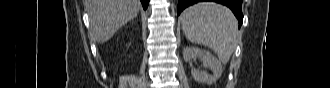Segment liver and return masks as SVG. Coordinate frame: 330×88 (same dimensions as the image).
<instances>
[{
	"label": "liver",
	"mask_w": 330,
	"mask_h": 88,
	"mask_svg": "<svg viewBox=\"0 0 330 88\" xmlns=\"http://www.w3.org/2000/svg\"><path fill=\"white\" fill-rule=\"evenodd\" d=\"M84 4L89 14L91 38L98 43L111 39L141 9L139 0H85Z\"/></svg>",
	"instance_id": "obj_1"
}]
</instances>
